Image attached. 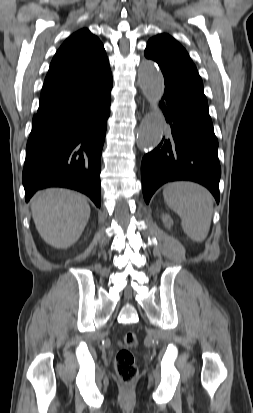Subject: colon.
<instances>
[{
  "label": "colon",
  "mask_w": 253,
  "mask_h": 413,
  "mask_svg": "<svg viewBox=\"0 0 253 413\" xmlns=\"http://www.w3.org/2000/svg\"><path fill=\"white\" fill-rule=\"evenodd\" d=\"M137 344V335L134 332H127L123 338V347L117 352L115 358L117 376L122 384L126 386L132 384L138 375V368L131 350Z\"/></svg>",
  "instance_id": "colon-1"
}]
</instances>
